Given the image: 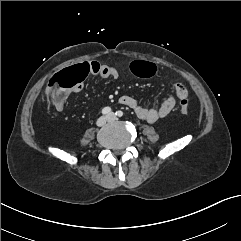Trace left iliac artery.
I'll return each mask as SVG.
<instances>
[{"instance_id": "left-iliac-artery-1", "label": "left iliac artery", "mask_w": 241, "mask_h": 241, "mask_svg": "<svg viewBox=\"0 0 241 241\" xmlns=\"http://www.w3.org/2000/svg\"><path fill=\"white\" fill-rule=\"evenodd\" d=\"M116 115H117L118 117H122V116H123V112H122L121 110H118V111L116 112Z\"/></svg>"}]
</instances>
